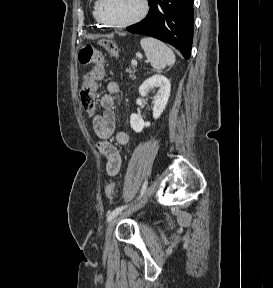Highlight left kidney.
Returning a JSON list of instances; mask_svg holds the SVG:
<instances>
[{
    "label": "left kidney",
    "mask_w": 273,
    "mask_h": 288,
    "mask_svg": "<svg viewBox=\"0 0 273 288\" xmlns=\"http://www.w3.org/2000/svg\"><path fill=\"white\" fill-rule=\"evenodd\" d=\"M157 92L153 98V118L158 119L164 111L171 90L170 81L163 75L156 74L146 79L139 87V93L142 97H145L150 91ZM131 128L140 133L145 127L150 126V122H144V120L137 114L133 113L130 117Z\"/></svg>",
    "instance_id": "1"
}]
</instances>
